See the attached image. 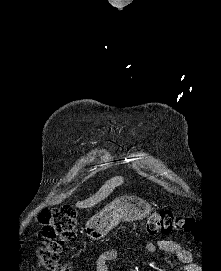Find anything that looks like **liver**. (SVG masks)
<instances>
[{"instance_id":"1","label":"liver","mask_w":221,"mask_h":271,"mask_svg":"<svg viewBox=\"0 0 221 271\" xmlns=\"http://www.w3.org/2000/svg\"><path fill=\"white\" fill-rule=\"evenodd\" d=\"M110 191H112V183L109 179V181H106V183L100 187L99 191H97L95 195H92L89 199H85V201H78L76 205L77 207H93V205H96V203L105 199V197L109 195Z\"/></svg>"}]
</instances>
